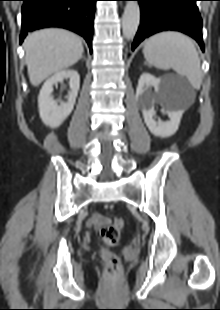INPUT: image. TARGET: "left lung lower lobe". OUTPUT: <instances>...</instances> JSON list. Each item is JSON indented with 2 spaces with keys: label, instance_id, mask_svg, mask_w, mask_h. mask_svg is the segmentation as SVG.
Here are the masks:
<instances>
[{
  "label": "left lung lower lobe",
  "instance_id": "left-lung-lower-lobe-1",
  "mask_svg": "<svg viewBox=\"0 0 220 310\" xmlns=\"http://www.w3.org/2000/svg\"><path fill=\"white\" fill-rule=\"evenodd\" d=\"M141 9V22L132 44L134 50L145 38L166 30L185 33L194 38L204 51L202 19L197 0H136Z\"/></svg>",
  "mask_w": 220,
  "mask_h": 310
}]
</instances>
